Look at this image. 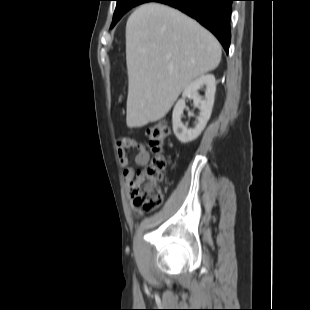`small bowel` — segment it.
<instances>
[{
  "instance_id": "obj_1",
  "label": "small bowel",
  "mask_w": 310,
  "mask_h": 310,
  "mask_svg": "<svg viewBox=\"0 0 310 310\" xmlns=\"http://www.w3.org/2000/svg\"><path fill=\"white\" fill-rule=\"evenodd\" d=\"M136 149L137 153L135 156V163L138 166H144L149 162L150 154L146 148V146L137 141L132 137H122L117 141V155L119 158L120 165L124 168V180L127 184L131 181L134 176V169L129 166V158H128V150ZM131 210L137 214L141 215L142 210L131 203Z\"/></svg>"
}]
</instances>
